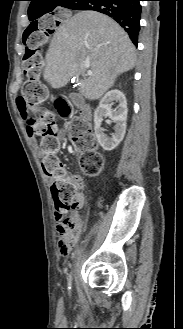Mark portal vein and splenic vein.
<instances>
[{"mask_svg": "<svg viewBox=\"0 0 183 329\" xmlns=\"http://www.w3.org/2000/svg\"><path fill=\"white\" fill-rule=\"evenodd\" d=\"M86 67L88 68L89 65H86ZM87 74H88V75H93V73H92L91 71H89V70H87Z\"/></svg>", "mask_w": 183, "mask_h": 329, "instance_id": "18ae733b", "label": "portal vein and splenic vein"}]
</instances>
